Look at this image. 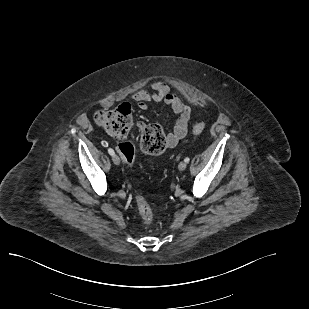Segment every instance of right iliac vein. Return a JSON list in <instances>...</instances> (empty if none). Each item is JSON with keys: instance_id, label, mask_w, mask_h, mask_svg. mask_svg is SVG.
<instances>
[{"instance_id": "obj_1", "label": "right iliac vein", "mask_w": 309, "mask_h": 309, "mask_svg": "<svg viewBox=\"0 0 309 309\" xmlns=\"http://www.w3.org/2000/svg\"><path fill=\"white\" fill-rule=\"evenodd\" d=\"M112 160L114 162V164L119 165L120 164V158L117 155H113L112 156Z\"/></svg>"}]
</instances>
